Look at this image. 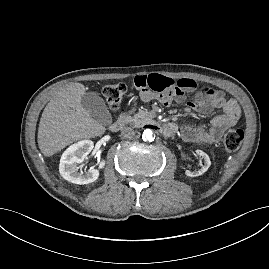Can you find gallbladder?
Masks as SVG:
<instances>
[{"label":"gallbladder","mask_w":269,"mask_h":269,"mask_svg":"<svg viewBox=\"0 0 269 269\" xmlns=\"http://www.w3.org/2000/svg\"><path fill=\"white\" fill-rule=\"evenodd\" d=\"M82 106L89 111L91 117L102 125H110L112 116L104 100L95 92H86L81 98Z\"/></svg>","instance_id":"bac80fb5"}]
</instances>
